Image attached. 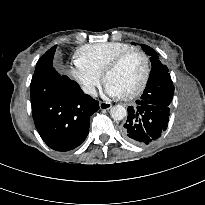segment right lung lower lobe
Returning <instances> with one entry per match:
<instances>
[{
    "label": "right lung lower lobe",
    "mask_w": 205,
    "mask_h": 205,
    "mask_svg": "<svg viewBox=\"0 0 205 205\" xmlns=\"http://www.w3.org/2000/svg\"><path fill=\"white\" fill-rule=\"evenodd\" d=\"M56 47L37 62L30 85L32 115L43 141L56 151H68L86 139L90 116L99 109V102L55 71Z\"/></svg>",
    "instance_id": "obj_1"
}]
</instances>
